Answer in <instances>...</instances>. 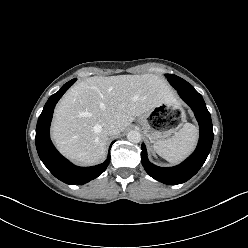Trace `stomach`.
<instances>
[{"instance_id":"0dacf381","label":"stomach","mask_w":248,"mask_h":248,"mask_svg":"<svg viewBox=\"0 0 248 248\" xmlns=\"http://www.w3.org/2000/svg\"><path fill=\"white\" fill-rule=\"evenodd\" d=\"M176 120L185 121V113L178 103H162L139 118L146 138L151 142L163 140L174 133Z\"/></svg>"}]
</instances>
